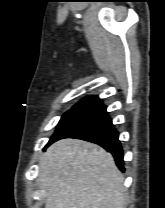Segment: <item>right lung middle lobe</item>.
I'll list each match as a JSON object with an SVG mask.
<instances>
[{"instance_id": "1", "label": "right lung middle lobe", "mask_w": 165, "mask_h": 208, "mask_svg": "<svg viewBox=\"0 0 165 208\" xmlns=\"http://www.w3.org/2000/svg\"><path fill=\"white\" fill-rule=\"evenodd\" d=\"M92 109L87 107H73L69 111H67L59 121L57 125V129L54 135L51 137L49 143L46 145H50V143L59 137L66 129H68L71 125L77 122L81 117L88 114Z\"/></svg>"}]
</instances>
